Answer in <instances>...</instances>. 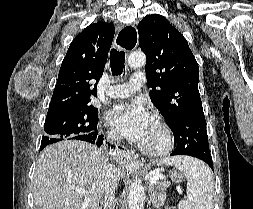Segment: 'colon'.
Instances as JSON below:
<instances>
[{
	"mask_svg": "<svg viewBox=\"0 0 253 209\" xmlns=\"http://www.w3.org/2000/svg\"><path fill=\"white\" fill-rule=\"evenodd\" d=\"M173 178H174V180H179L180 179V175L179 174H174Z\"/></svg>",
	"mask_w": 253,
	"mask_h": 209,
	"instance_id": "1",
	"label": "colon"
}]
</instances>
